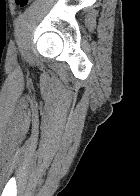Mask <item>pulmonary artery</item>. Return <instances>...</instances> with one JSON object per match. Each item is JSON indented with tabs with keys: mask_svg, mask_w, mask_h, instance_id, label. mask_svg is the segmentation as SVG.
Masks as SVG:
<instances>
[{
	"mask_svg": "<svg viewBox=\"0 0 140 196\" xmlns=\"http://www.w3.org/2000/svg\"><path fill=\"white\" fill-rule=\"evenodd\" d=\"M40 192H52V191H40Z\"/></svg>",
	"mask_w": 140,
	"mask_h": 196,
	"instance_id": "1",
	"label": "pulmonary artery"
}]
</instances>
